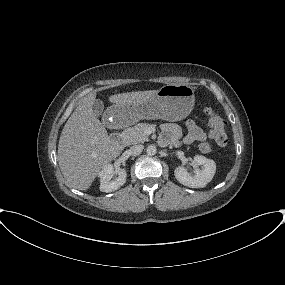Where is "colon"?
I'll return each instance as SVG.
<instances>
[{"instance_id":"1","label":"colon","mask_w":285,"mask_h":285,"mask_svg":"<svg viewBox=\"0 0 285 285\" xmlns=\"http://www.w3.org/2000/svg\"><path fill=\"white\" fill-rule=\"evenodd\" d=\"M205 114L209 127L211 139L219 146L225 147L228 144V136L226 133V121L212 108H206ZM202 153H208L211 150L209 143L204 142L199 145Z\"/></svg>"}]
</instances>
